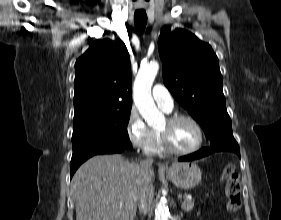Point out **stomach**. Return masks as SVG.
Segmentation results:
<instances>
[{"label": "stomach", "mask_w": 281, "mask_h": 220, "mask_svg": "<svg viewBox=\"0 0 281 220\" xmlns=\"http://www.w3.org/2000/svg\"><path fill=\"white\" fill-rule=\"evenodd\" d=\"M169 179L182 189H191L201 181L202 172L198 165L190 162L174 163L166 170Z\"/></svg>", "instance_id": "stomach-1"}]
</instances>
